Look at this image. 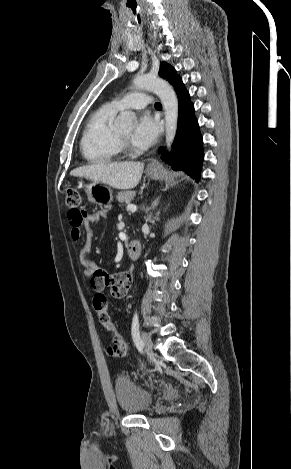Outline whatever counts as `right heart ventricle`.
Returning <instances> with one entry per match:
<instances>
[{
    "mask_svg": "<svg viewBox=\"0 0 291 469\" xmlns=\"http://www.w3.org/2000/svg\"><path fill=\"white\" fill-rule=\"evenodd\" d=\"M118 111L112 103L104 104L89 117L80 141L82 156L88 162L104 163L118 159L121 146L112 125Z\"/></svg>",
    "mask_w": 291,
    "mask_h": 469,
    "instance_id": "e07e8e85",
    "label": "right heart ventricle"
}]
</instances>
